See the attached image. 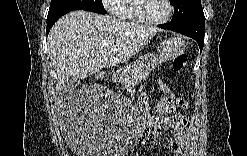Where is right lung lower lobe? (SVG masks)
<instances>
[{
  "label": "right lung lower lobe",
  "instance_id": "98d812e1",
  "mask_svg": "<svg viewBox=\"0 0 247 156\" xmlns=\"http://www.w3.org/2000/svg\"><path fill=\"white\" fill-rule=\"evenodd\" d=\"M73 11V10H65V11H61L52 15H48L47 17V34L49 33L51 27L53 26V24L63 15H65L66 13ZM85 11H91V12H96L99 14H105L106 11L105 10H101V9H88Z\"/></svg>",
  "mask_w": 247,
  "mask_h": 156
}]
</instances>
